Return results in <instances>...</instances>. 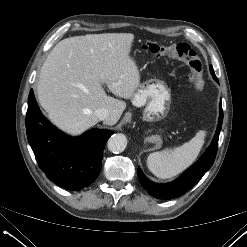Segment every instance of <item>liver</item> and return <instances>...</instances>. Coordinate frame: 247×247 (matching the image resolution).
<instances>
[{
    "label": "liver",
    "instance_id": "obj_1",
    "mask_svg": "<svg viewBox=\"0 0 247 247\" xmlns=\"http://www.w3.org/2000/svg\"><path fill=\"white\" fill-rule=\"evenodd\" d=\"M132 33L75 36L60 41L41 68L37 84L40 105L59 129L78 135L98 123L95 110H109L107 125H114L140 85V73L130 57Z\"/></svg>",
    "mask_w": 247,
    "mask_h": 247
}]
</instances>
